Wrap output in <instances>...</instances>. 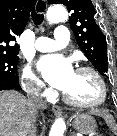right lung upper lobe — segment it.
Segmentation results:
<instances>
[{"label":"right lung upper lobe","mask_w":117,"mask_h":136,"mask_svg":"<svg viewBox=\"0 0 117 136\" xmlns=\"http://www.w3.org/2000/svg\"><path fill=\"white\" fill-rule=\"evenodd\" d=\"M36 0H0V55H16V37L24 31Z\"/></svg>","instance_id":"cb5924a9"}]
</instances>
